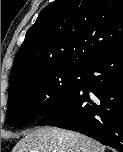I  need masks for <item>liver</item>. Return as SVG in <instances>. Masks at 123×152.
I'll use <instances>...</instances> for the list:
<instances>
[{
  "label": "liver",
  "mask_w": 123,
  "mask_h": 152,
  "mask_svg": "<svg viewBox=\"0 0 123 152\" xmlns=\"http://www.w3.org/2000/svg\"><path fill=\"white\" fill-rule=\"evenodd\" d=\"M105 147L83 134L42 127L28 132L13 152H104Z\"/></svg>",
  "instance_id": "obj_1"
}]
</instances>
